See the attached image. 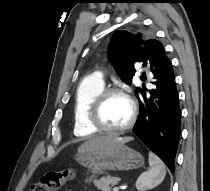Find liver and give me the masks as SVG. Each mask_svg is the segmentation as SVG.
Segmentation results:
<instances>
[{"instance_id":"1","label":"liver","mask_w":210,"mask_h":191,"mask_svg":"<svg viewBox=\"0 0 210 191\" xmlns=\"http://www.w3.org/2000/svg\"><path fill=\"white\" fill-rule=\"evenodd\" d=\"M132 140H133L132 137H119L116 134H108L106 136H97L84 142L78 148V151L94 150V149L104 148V147L112 146L116 144H124Z\"/></svg>"}]
</instances>
